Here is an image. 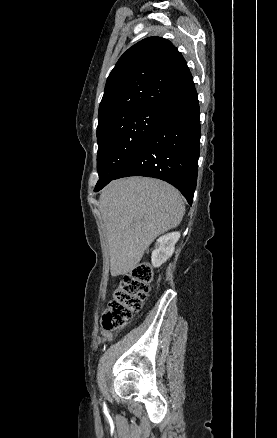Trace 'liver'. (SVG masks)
Returning <instances> with one entry per match:
<instances>
[{
    "instance_id": "liver-1",
    "label": "liver",
    "mask_w": 277,
    "mask_h": 438,
    "mask_svg": "<svg viewBox=\"0 0 277 438\" xmlns=\"http://www.w3.org/2000/svg\"><path fill=\"white\" fill-rule=\"evenodd\" d=\"M111 276L137 268L155 238L180 224L185 206L173 186L154 178H121L100 194Z\"/></svg>"
}]
</instances>
